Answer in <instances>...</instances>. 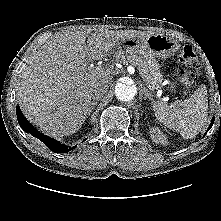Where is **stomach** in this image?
<instances>
[{
    "mask_svg": "<svg viewBox=\"0 0 221 221\" xmlns=\"http://www.w3.org/2000/svg\"><path fill=\"white\" fill-rule=\"evenodd\" d=\"M180 48L179 42L162 34H151L144 38H130L121 42L120 49L124 52H143L150 57L168 58L174 55ZM172 92L176 86L172 85Z\"/></svg>",
    "mask_w": 221,
    "mask_h": 221,
    "instance_id": "1",
    "label": "stomach"
}]
</instances>
